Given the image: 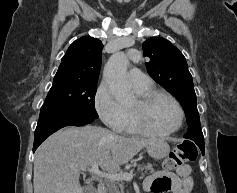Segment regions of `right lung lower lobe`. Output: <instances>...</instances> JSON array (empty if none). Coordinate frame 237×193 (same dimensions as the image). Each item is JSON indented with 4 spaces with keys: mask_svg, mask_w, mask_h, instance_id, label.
<instances>
[{
    "mask_svg": "<svg viewBox=\"0 0 237 193\" xmlns=\"http://www.w3.org/2000/svg\"><path fill=\"white\" fill-rule=\"evenodd\" d=\"M95 118L79 117L62 111L41 109L39 121L35 130L33 152L52 133L65 126H83Z\"/></svg>",
    "mask_w": 237,
    "mask_h": 193,
    "instance_id": "1",
    "label": "right lung lower lobe"
}]
</instances>
